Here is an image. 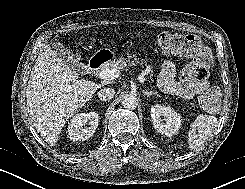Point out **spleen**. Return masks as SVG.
<instances>
[{
    "mask_svg": "<svg viewBox=\"0 0 245 189\" xmlns=\"http://www.w3.org/2000/svg\"><path fill=\"white\" fill-rule=\"evenodd\" d=\"M217 123V118L212 115L200 114L197 116L188 132V149H198L213 134Z\"/></svg>",
    "mask_w": 245,
    "mask_h": 189,
    "instance_id": "obj_1",
    "label": "spleen"
}]
</instances>
